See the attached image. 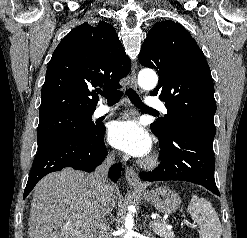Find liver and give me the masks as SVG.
Here are the masks:
<instances>
[{"mask_svg": "<svg viewBox=\"0 0 247 238\" xmlns=\"http://www.w3.org/2000/svg\"><path fill=\"white\" fill-rule=\"evenodd\" d=\"M109 185L99 201L91 175L71 168L51 173L34 189L29 217L30 238H96L98 206L106 216L116 203Z\"/></svg>", "mask_w": 247, "mask_h": 238, "instance_id": "liver-1", "label": "liver"}]
</instances>
